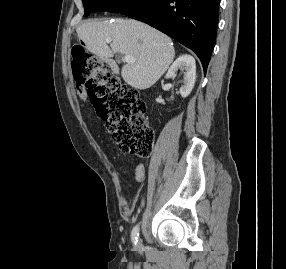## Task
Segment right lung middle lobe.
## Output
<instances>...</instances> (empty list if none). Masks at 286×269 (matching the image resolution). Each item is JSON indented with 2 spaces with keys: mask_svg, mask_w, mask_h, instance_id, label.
<instances>
[{
  "mask_svg": "<svg viewBox=\"0 0 286 269\" xmlns=\"http://www.w3.org/2000/svg\"><path fill=\"white\" fill-rule=\"evenodd\" d=\"M84 16L95 11H111L130 15L150 5L154 0H82Z\"/></svg>",
  "mask_w": 286,
  "mask_h": 269,
  "instance_id": "obj_1",
  "label": "right lung middle lobe"
}]
</instances>
